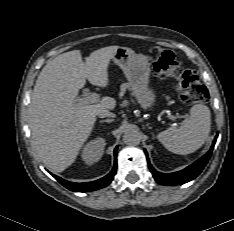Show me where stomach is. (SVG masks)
<instances>
[{
    "label": "stomach",
    "instance_id": "stomach-1",
    "mask_svg": "<svg viewBox=\"0 0 234 231\" xmlns=\"http://www.w3.org/2000/svg\"><path fill=\"white\" fill-rule=\"evenodd\" d=\"M125 74L128 85L138 104L144 110H152L156 93L149 85L150 62L143 54H136L131 48L119 47L112 57Z\"/></svg>",
    "mask_w": 234,
    "mask_h": 231
}]
</instances>
